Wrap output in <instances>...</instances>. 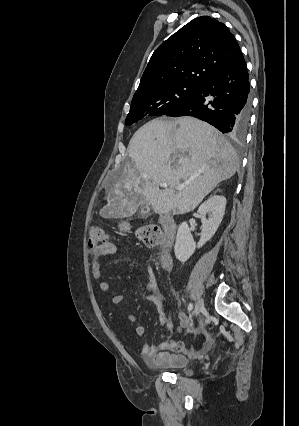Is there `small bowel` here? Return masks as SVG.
<instances>
[{"instance_id": "c3829d8e", "label": "small bowel", "mask_w": 299, "mask_h": 426, "mask_svg": "<svg viewBox=\"0 0 299 426\" xmlns=\"http://www.w3.org/2000/svg\"><path fill=\"white\" fill-rule=\"evenodd\" d=\"M118 247L112 242L95 248L91 251V273L92 277L95 280H101L103 276L101 258L107 255L116 254ZM147 274L149 276V281L146 286V291L148 292L147 300L154 302L159 309L160 313V323L168 329L169 332L174 331L173 323L168 320L165 308L163 304L157 299L153 294L155 290V277L154 272L151 267L146 268ZM100 290L103 293L109 291V283L107 281H100L99 284ZM125 296L123 294H116L112 298L114 305H120L123 303ZM179 329H183L188 326V320L183 312H179ZM126 318L130 323H136L137 317L133 313H127ZM137 336H143L145 334V327L138 325L135 329ZM196 352L193 349H189L181 341H176L174 339H166L160 342L157 345H144L141 349V357L143 360L152 367H170L180 369L186 366L188 360L196 356Z\"/></svg>"}]
</instances>
